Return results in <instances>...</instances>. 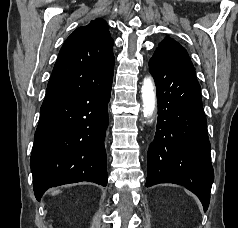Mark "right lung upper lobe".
Masks as SVG:
<instances>
[{
    "label": "right lung upper lobe",
    "instance_id": "1",
    "mask_svg": "<svg viewBox=\"0 0 238 228\" xmlns=\"http://www.w3.org/2000/svg\"><path fill=\"white\" fill-rule=\"evenodd\" d=\"M113 43L103 19L77 28L59 52L45 99L89 88L111 75L115 62Z\"/></svg>",
    "mask_w": 238,
    "mask_h": 228
}]
</instances>
